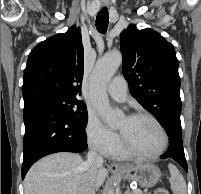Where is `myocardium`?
<instances>
[{
    "label": "myocardium",
    "mask_w": 201,
    "mask_h": 194,
    "mask_svg": "<svg viewBox=\"0 0 201 194\" xmlns=\"http://www.w3.org/2000/svg\"><path fill=\"white\" fill-rule=\"evenodd\" d=\"M129 117H131V118H147V119L151 120L157 126V128L159 129V131L161 133L162 145L154 153H149V154L140 153L138 151H135L133 148H131L130 145L125 140V138L123 137V135L121 134V143H122V148H123L124 152L128 156H132V157L139 158V159H155V158L160 157L162 154H164L169 146V135H168L165 127L163 126V124L154 115H152L148 112L138 111V112L131 114Z\"/></svg>",
    "instance_id": "myocardium-1"
}]
</instances>
